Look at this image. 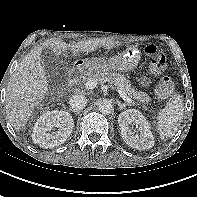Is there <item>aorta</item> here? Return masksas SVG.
I'll use <instances>...</instances> for the list:
<instances>
[{
	"label": "aorta",
	"mask_w": 197,
	"mask_h": 197,
	"mask_svg": "<svg viewBox=\"0 0 197 197\" xmlns=\"http://www.w3.org/2000/svg\"><path fill=\"white\" fill-rule=\"evenodd\" d=\"M98 109L102 114L109 115L113 111V105L109 100H103L99 103Z\"/></svg>",
	"instance_id": "762f6f07"
}]
</instances>
